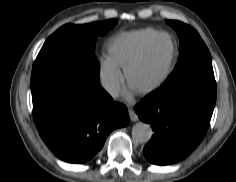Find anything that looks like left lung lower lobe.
Returning <instances> with one entry per match:
<instances>
[{"label": "left lung lower lobe", "instance_id": "1", "mask_svg": "<svg viewBox=\"0 0 236 182\" xmlns=\"http://www.w3.org/2000/svg\"><path fill=\"white\" fill-rule=\"evenodd\" d=\"M214 106L215 102L191 96L168 99L154 94L144 98L135 111L154 131L143 149L146 159L169 165L187 157L205 136Z\"/></svg>", "mask_w": 236, "mask_h": 182}]
</instances>
